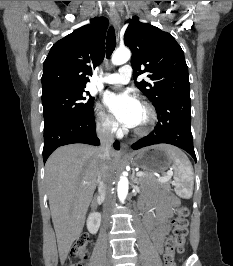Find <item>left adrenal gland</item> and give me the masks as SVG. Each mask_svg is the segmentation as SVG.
<instances>
[{"label":"left adrenal gland","mask_w":233,"mask_h":266,"mask_svg":"<svg viewBox=\"0 0 233 266\" xmlns=\"http://www.w3.org/2000/svg\"><path fill=\"white\" fill-rule=\"evenodd\" d=\"M132 181H133L134 183H136V184H139L138 179L136 178V176H135V172H134V171H133V173H132Z\"/></svg>","instance_id":"1"}]
</instances>
